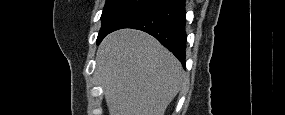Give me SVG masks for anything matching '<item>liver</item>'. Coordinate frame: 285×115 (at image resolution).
<instances>
[{
	"label": "liver",
	"mask_w": 285,
	"mask_h": 115,
	"mask_svg": "<svg viewBox=\"0 0 285 115\" xmlns=\"http://www.w3.org/2000/svg\"><path fill=\"white\" fill-rule=\"evenodd\" d=\"M96 73L110 115H164L183 84L181 63L151 35L133 29L104 38Z\"/></svg>",
	"instance_id": "obj_1"
}]
</instances>
